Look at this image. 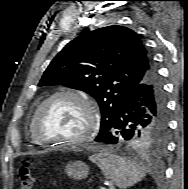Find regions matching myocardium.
Listing matches in <instances>:
<instances>
[{
	"mask_svg": "<svg viewBox=\"0 0 188 189\" xmlns=\"http://www.w3.org/2000/svg\"><path fill=\"white\" fill-rule=\"evenodd\" d=\"M61 97L74 98L80 101L84 105L88 114V121H87L86 127L78 136L74 138H69L65 140L43 139L39 135V123H40L41 117L44 114L47 107L49 106V104L53 102L54 100ZM98 125H99V113H98L95 103L92 101V99L88 95H86L83 92H79L75 90H61L49 96L38 107L33 118L31 132H32V136L35 142H37L40 145L71 146V145L79 144L83 142L84 140H86L87 138H89L96 131Z\"/></svg>",
	"mask_w": 188,
	"mask_h": 189,
	"instance_id": "myocardium-1",
	"label": "myocardium"
}]
</instances>
